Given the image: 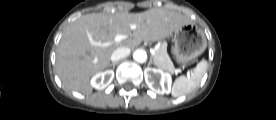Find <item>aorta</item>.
I'll use <instances>...</instances> for the list:
<instances>
[{
  "instance_id": "obj_1",
  "label": "aorta",
  "mask_w": 276,
  "mask_h": 120,
  "mask_svg": "<svg viewBox=\"0 0 276 120\" xmlns=\"http://www.w3.org/2000/svg\"><path fill=\"white\" fill-rule=\"evenodd\" d=\"M133 58L139 63H144L147 60V53L142 49H137L133 54Z\"/></svg>"
}]
</instances>
